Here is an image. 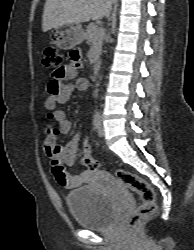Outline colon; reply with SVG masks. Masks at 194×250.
Returning <instances> with one entry per match:
<instances>
[{
  "label": "colon",
  "instance_id": "obj_1",
  "mask_svg": "<svg viewBox=\"0 0 194 250\" xmlns=\"http://www.w3.org/2000/svg\"><path fill=\"white\" fill-rule=\"evenodd\" d=\"M71 59L77 62L79 60L78 53L73 52L71 54ZM61 63L62 58L56 47L47 46L44 48L42 57V64L44 67L60 68ZM82 151L84 153L82 164L92 171L99 170L101 168V163L90 156V145L87 141L82 143ZM114 175L123 186L137 193L141 199L139 206L127 217L126 223L128 225H134L142 219L155 214L156 194L153 187L146 180L123 169H116Z\"/></svg>",
  "mask_w": 194,
  "mask_h": 250
}]
</instances>
